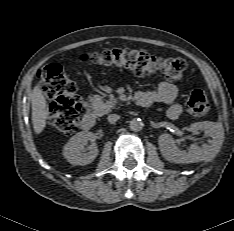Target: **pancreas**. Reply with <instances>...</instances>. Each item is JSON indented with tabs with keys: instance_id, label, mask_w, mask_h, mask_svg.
<instances>
[{
	"instance_id": "1",
	"label": "pancreas",
	"mask_w": 234,
	"mask_h": 231,
	"mask_svg": "<svg viewBox=\"0 0 234 231\" xmlns=\"http://www.w3.org/2000/svg\"><path fill=\"white\" fill-rule=\"evenodd\" d=\"M89 102L90 108L97 116H102L111 112L118 103L116 99H110L104 102L103 98L99 95L90 96Z\"/></svg>"
}]
</instances>
